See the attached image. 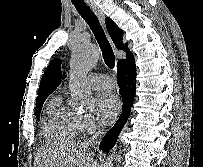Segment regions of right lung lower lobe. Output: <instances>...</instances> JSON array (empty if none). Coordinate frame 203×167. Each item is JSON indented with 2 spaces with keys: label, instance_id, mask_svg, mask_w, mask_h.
Returning a JSON list of instances; mask_svg holds the SVG:
<instances>
[{
  "label": "right lung lower lobe",
  "instance_id": "obj_1",
  "mask_svg": "<svg viewBox=\"0 0 203 167\" xmlns=\"http://www.w3.org/2000/svg\"><path fill=\"white\" fill-rule=\"evenodd\" d=\"M117 83L119 93L123 100L122 113L115 125L107 132L102 139L100 149L109 152L117 141L120 131L130 115L131 107L135 97V61L125 64L117 69Z\"/></svg>",
  "mask_w": 203,
  "mask_h": 167
}]
</instances>
